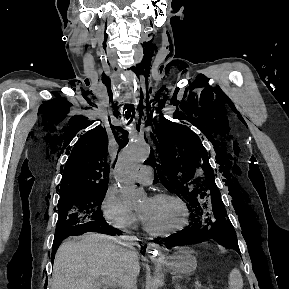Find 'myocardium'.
I'll list each match as a JSON object with an SVG mask.
<instances>
[{
    "instance_id": "1",
    "label": "myocardium",
    "mask_w": 289,
    "mask_h": 289,
    "mask_svg": "<svg viewBox=\"0 0 289 289\" xmlns=\"http://www.w3.org/2000/svg\"><path fill=\"white\" fill-rule=\"evenodd\" d=\"M151 199H155V200L169 199V200H173L176 203H178L184 211V222L181 226H179L178 228L172 229V230L155 231L144 220H142L143 228L148 234H150L152 236H157V237H167V236H171L173 234H176L180 231H183L184 229L187 228V226L189 225V222H190V210H189L187 204L185 203V201L181 197H179L175 194H172V193H158V194L153 195L151 197Z\"/></svg>"
}]
</instances>
